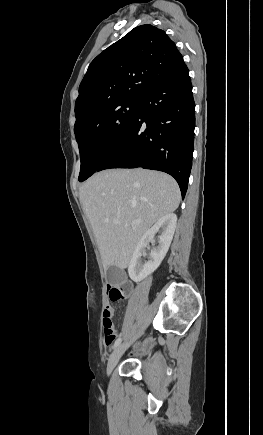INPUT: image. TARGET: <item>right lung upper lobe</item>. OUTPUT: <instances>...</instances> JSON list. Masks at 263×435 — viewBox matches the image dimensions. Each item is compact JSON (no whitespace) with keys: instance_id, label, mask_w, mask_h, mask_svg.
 Returning <instances> with one entry per match:
<instances>
[{"instance_id":"obj_1","label":"right lung upper lobe","mask_w":263,"mask_h":435,"mask_svg":"<svg viewBox=\"0 0 263 435\" xmlns=\"http://www.w3.org/2000/svg\"><path fill=\"white\" fill-rule=\"evenodd\" d=\"M184 64L166 33L146 24L132 29L89 65L75 103V127L99 109L126 99H143Z\"/></svg>"}]
</instances>
